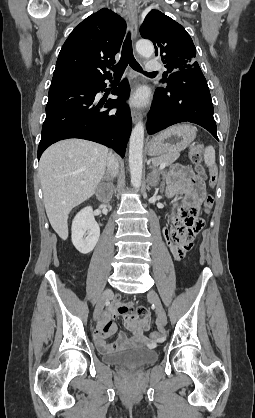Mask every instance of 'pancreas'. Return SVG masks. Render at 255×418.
Segmentation results:
<instances>
[{"label":"pancreas","instance_id":"pancreas-1","mask_svg":"<svg viewBox=\"0 0 255 418\" xmlns=\"http://www.w3.org/2000/svg\"><path fill=\"white\" fill-rule=\"evenodd\" d=\"M180 156L179 153L168 154V155H161L159 157H155L152 159V163L154 166H158L162 163H166L167 165L172 164L174 161L178 159Z\"/></svg>","mask_w":255,"mask_h":418}]
</instances>
